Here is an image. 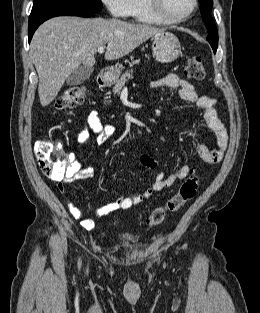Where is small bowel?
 I'll return each instance as SVG.
<instances>
[{
	"label": "small bowel",
	"mask_w": 260,
	"mask_h": 313,
	"mask_svg": "<svg viewBox=\"0 0 260 313\" xmlns=\"http://www.w3.org/2000/svg\"><path fill=\"white\" fill-rule=\"evenodd\" d=\"M153 87L166 86L176 89L180 98L185 101L196 104L203 110V117L206 125L213 131L216 136L217 147L210 150L205 144L198 143L195 147L196 154L209 164H216L221 161L223 153L227 147L228 134L227 129L221 121L217 111V100L196 93L195 88L189 81L180 78L176 74H167L152 83ZM115 126L113 124H103L100 120L99 113L95 110L90 111L83 120V126L78 132L77 141L79 144H84L90 137V131L96 137L98 143L106 142L114 133ZM70 165L66 171L64 179L57 183L58 190L66 196L67 206L70 214L78 220L83 228L92 230L95 228V221L92 218L85 217L83 211L78 208L75 203L66 195L65 185L75 180H86L93 177L95 170L93 167H83L73 154L69 155ZM140 163L148 168L154 169L157 166L156 160L145 153L139 155ZM191 168L188 165H183L175 172L168 176L159 172L156 174L152 186L145 190L142 194H134L128 197H122L116 201L107 203L99 207L96 211L97 216H104L119 209H128L132 206L140 204L145 199L150 198L153 193L160 192L176 181L184 179L190 173Z\"/></svg>",
	"instance_id": "c3829d8e"
}]
</instances>
